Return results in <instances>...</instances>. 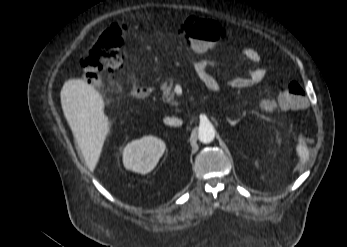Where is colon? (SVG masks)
<instances>
[{
  "label": "colon",
  "instance_id": "obj_1",
  "mask_svg": "<svg viewBox=\"0 0 347 247\" xmlns=\"http://www.w3.org/2000/svg\"><path fill=\"white\" fill-rule=\"evenodd\" d=\"M127 31L128 28L124 24L111 25L101 33L81 60L82 73L93 86L102 87L110 76H114L121 69L123 38ZM179 34L196 52L211 51L226 37V31L218 22L197 16L188 17L180 25ZM305 106V90L296 81L282 86L274 101L261 102V108L269 112L275 107L299 110Z\"/></svg>",
  "mask_w": 347,
  "mask_h": 247
}]
</instances>
